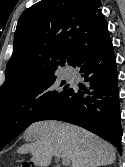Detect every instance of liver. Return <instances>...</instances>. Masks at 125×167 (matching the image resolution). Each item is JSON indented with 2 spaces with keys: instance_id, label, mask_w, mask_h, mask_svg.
<instances>
[{
  "instance_id": "liver-1",
  "label": "liver",
  "mask_w": 125,
  "mask_h": 167,
  "mask_svg": "<svg viewBox=\"0 0 125 167\" xmlns=\"http://www.w3.org/2000/svg\"><path fill=\"white\" fill-rule=\"evenodd\" d=\"M35 139L18 148V153H31V162L48 167L52 157L68 158L71 167H99L116 160L115 148L97 135L78 126L41 121L31 124L25 131Z\"/></svg>"
}]
</instances>
